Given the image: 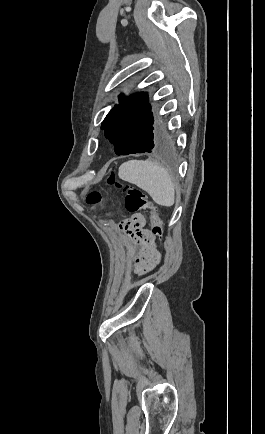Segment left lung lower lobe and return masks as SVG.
Here are the masks:
<instances>
[{
  "instance_id": "0a47b994",
  "label": "left lung lower lobe",
  "mask_w": 265,
  "mask_h": 434,
  "mask_svg": "<svg viewBox=\"0 0 265 434\" xmlns=\"http://www.w3.org/2000/svg\"><path fill=\"white\" fill-rule=\"evenodd\" d=\"M172 134L154 127L146 129L135 137L128 139L121 147L115 148L117 155H128L135 153H166L174 147Z\"/></svg>"
}]
</instances>
